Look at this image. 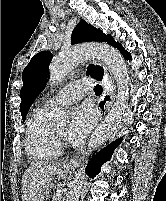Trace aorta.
<instances>
[{
	"mask_svg": "<svg viewBox=\"0 0 166 201\" xmlns=\"http://www.w3.org/2000/svg\"><path fill=\"white\" fill-rule=\"evenodd\" d=\"M89 58L101 59L113 74L118 86L116 101L90 138L88 147L92 151L104 144L121 122L129 99L130 77L125 60L114 48L106 44H85L64 50L52 59L49 65L50 83H61L75 66ZM51 114L57 121L68 118L67 112L60 107H55ZM84 178L85 166L82 165L69 187L66 201H79Z\"/></svg>",
	"mask_w": 166,
	"mask_h": 201,
	"instance_id": "762f6f07",
	"label": "aorta"
}]
</instances>
